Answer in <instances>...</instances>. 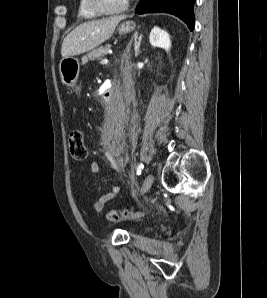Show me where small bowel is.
I'll use <instances>...</instances> for the list:
<instances>
[{"mask_svg":"<svg viewBox=\"0 0 267 298\" xmlns=\"http://www.w3.org/2000/svg\"><path fill=\"white\" fill-rule=\"evenodd\" d=\"M116 170H120V166H116ZM89 171L93 174H98L101 172V168L97 163H90ZM120 192V187L114 186L108 193L97 197L93 203L94 208L98 212H102L106 203L114 199Z\"/></svg>","mask_w":267,"mask_h":298,"instance_id":"1","label":"small bowel"}]
</instances>
